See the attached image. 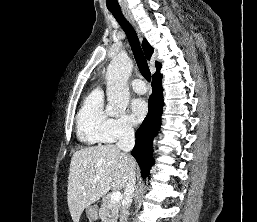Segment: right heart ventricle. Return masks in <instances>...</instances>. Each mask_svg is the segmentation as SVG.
I'll return each instance as SVG.
<instances>
[{"label":"right heart ventricle","mask_w":257,"mask_h":222,"mask_svg":"<svg viewBox=\"0 0 257 222\" xmlns=\"http://www.w3.org/2000/svg\"><path fill=\"white\" fill-rule=\"evenodd\" d=\"M109 115L104 109L101 90L92 91L84 100L77 115V136L86 145L106 143L105 127Z\"/></svg>","instance_id":"obj_1"}]
</instances>
